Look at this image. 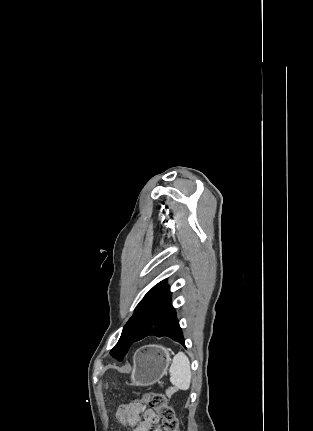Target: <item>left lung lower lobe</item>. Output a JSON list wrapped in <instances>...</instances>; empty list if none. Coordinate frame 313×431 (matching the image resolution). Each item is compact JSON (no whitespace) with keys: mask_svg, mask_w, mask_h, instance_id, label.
Returning a JSON list of instances; mask_svg holds the SVG:
<instances>
[{"mask_svg":"<svg viewBox=\"0 0 313 431\" xmlns=\"http://www.w3.org/2000/svg\"><path fill=\"white\" fill-rule=\"evenodd\" d=\"M163 337L167 336L182 345L184 344V337L182 329L179 326L176 317L175 309L171 302L160 309L141 329L135 338L134 342L140 341L148 336ZM133 342V343H134Z\"/></svg>","mask_w":313,"mask_h":431,"instance_id":"left-lung-lower-lobe-1","label":"left lung lower lobe"}]
</instances>
